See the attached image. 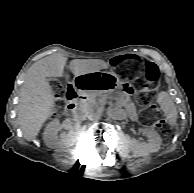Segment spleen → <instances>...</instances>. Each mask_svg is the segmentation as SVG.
Here are the masks:
<instances>
[{"label": "spleen", "instance_id": "3e777b00", "mask_svg": "<svg viewBox=\"0 0 194 193\" xmlns=\"http://www.w3.org/2000/svg\"><path fill=\"white\" fill-rule=\"evenodd\" d=\"M158 103L164 112L168 124L173 127L177 120V109L172 98L167 92L162 91L158 95Z\"/></svg>", "mask_w": 194, "mask_h": 193}]
</instances>
